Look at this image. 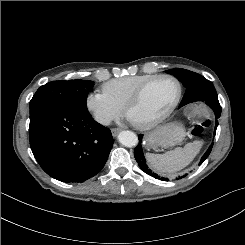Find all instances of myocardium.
I'll list each match as a JSON object with an SVG mask.
<instances>
[{"instance_id": "1", "label": "myocardium", "mask_w": 245, "mask_h": 245, "mask_svg": "<svg viewBox=\"0 0 245 245\" xmlns=\"http://www.w3.org/2000/svg\"><path fill=\"white\" fill-rule=\"evenodd\" d=\"M162 79H169V80L174 81L177 84L178 91H177L176 98H175L174 102L172 103V105L170 106V108L160 117H158V118H156V119H154L151 122H148L146 124H136V126L141 130H149V129L155 128L158 125H160L161 123H163L175 111V109L177 108V106L181 100L182 92H183V86H182L181 81L177 77H175L173 75H169V74L156 75V76L148 79L144 83H142L136 89V91L129 98V100L127 101V103L124 107L125 114L129 117V111L141 100L142 95H143L144 91L146 90V88L150 84H152L153 82L158 81V80H162Z\"/></svg>"}]
</instances>
